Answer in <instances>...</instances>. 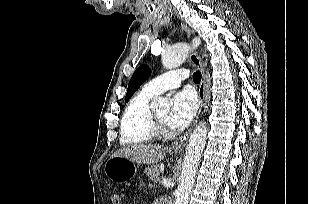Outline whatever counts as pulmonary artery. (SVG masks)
I'll use <instances>...</instances> for the list:
<instances>
[{"instance_id": "1", "label": "pulmonary artery", "mask_w": 309, "mask_h": 204, "mask_svg": "<svg viewBox=\"0 0 309 204\" xmlns=\"http://www.w3.org/2000/svg\"><path fill=\"white\" fill-rule=\"evenodd\" d=\"M187 77L188 74L184 70L170 71L147 82L143 90L146 93L158 95L166 90L179 87Z\"/></svg>"}]
</instances>
